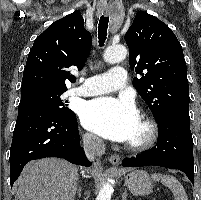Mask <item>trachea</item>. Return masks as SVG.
I'll use <instances>...</instances> for the list:
<instances>
[{"instance_id":"1","label":"trachea","mask_w":201,"mask_h":200,"mask_svg":"<svg viewBox=\"0 0 201 200\" xmlns=\"http://www.w3.org/2000/svg\"><path fill=\"white\" fill-rule=\"evenodd\" d=\"M109 23V17L102 15L99 20L98 26V39H99V46H104V42L107 36V28Z\"/></svg>"}]
</instances>
